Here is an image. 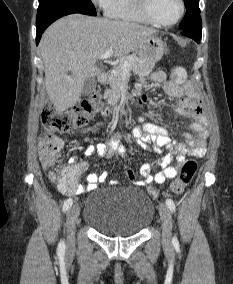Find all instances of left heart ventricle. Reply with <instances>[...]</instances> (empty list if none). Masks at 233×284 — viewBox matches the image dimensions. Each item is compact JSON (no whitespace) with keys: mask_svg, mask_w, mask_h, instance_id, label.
<instances>
[{"mask_svg":"<svg viewBox=\"0 0 233 284\" xmlns=\"http://www.w3.org/2000/svg\"><path fill=\"white\" fill-rule=\"evenodd\" d=\"M153 15L161 22H172L179 14L178 0H150Z\"/></svg>","mask_w":233,"mask_h":284,"instance_id":"b2bd125f","label":"left heart ventricle"}]
</instances>
